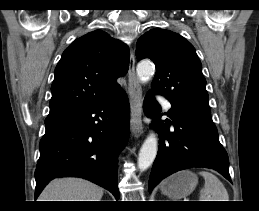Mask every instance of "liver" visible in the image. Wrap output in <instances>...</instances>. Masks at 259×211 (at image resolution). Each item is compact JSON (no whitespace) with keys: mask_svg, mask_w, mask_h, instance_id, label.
Masks as SVG:
<instances>
[{"mask_svg":"<svg viewBox=\"0 0 259 211\" xmlns=\"http://www.w3.org/2000/svg\"><path fill=\"white\" fill-rule=\"evenodd\" d=\"M103 189L80 178H60L50 182L39 201H101Z\"/></svg>","mask_w":259,"mask_h":211,"instance_id":"liver-1","label":"liver"}]
</instances>
